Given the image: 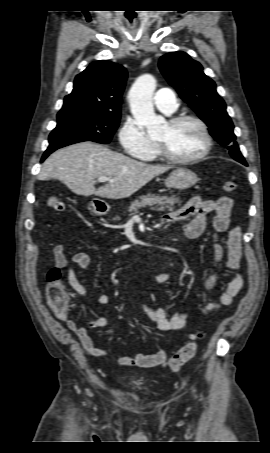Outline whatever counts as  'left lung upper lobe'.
Instances as JSON below:
<instances>
[{"label": "left lung upper lobe", "instance_id": "left-lung-upper-lobe-1", "mask_svg": "<svg viewBox=\"0 0 270 453\" xmlns=\"http://www.w3.org/2000/svg\"><path fill=\"white\" fill-rule=\"evenodd\" d=\"M159 68L180 97L208 125L214 139L227 146L232 158L247 165L235 141L234 126L225 102L218 95L215 82L204 74L201 64L185 52L177 51L162 56Z\"/></svg>", "mask_w": 270, "mask_h": 453}]
</instances>
